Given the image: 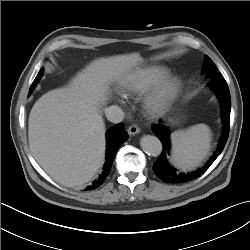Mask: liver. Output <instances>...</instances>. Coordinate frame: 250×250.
I'll use <instances>...</instances> for the list:
<instances>
[{"label":"liver","instance_id":"1","mask_svg":"<svg viewBox=\"0 0 250 250\" xmlns=\"http://www.w3.org/2000/svg\"><path fill=\"white\" fill-rule=\"evenodd\" d=\"M142 61L139 53L99 58L63 88L40 97L29 114L28 138L33 157L55 181L81 186L102 166L105 124L100 105L108 84Z\"/></svg>","mask_w":250,"mask_h":250}]
</instances>
